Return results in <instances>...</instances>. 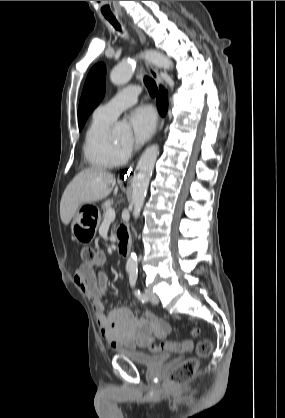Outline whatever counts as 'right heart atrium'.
Wrapping results in <instances>:
<instances>
[{
  "instance_id": "d8ad5b80",
  "label": "right heart atrium",
  "mask_w": 285,
  "mask_h": 418,
  "mask_svg": "<svg viewBox=\"0 0 285 418\" xmlns=\"http://www.w3.org/2000/svg\"><path fill=\"white\" fill-rule=\"evenodd\" d=\"M120 151H121L122 155H127L130 152V148H128V147H122L120 149Z\"/></svg>"
}]
</instances>
